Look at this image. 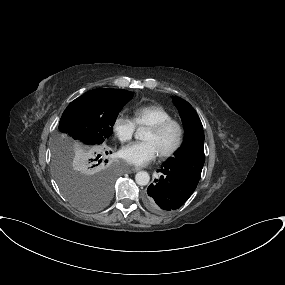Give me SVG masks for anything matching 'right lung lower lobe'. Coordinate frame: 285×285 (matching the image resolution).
Masks as SVG:
<instances>
[{
    "mask_svg": "<svg viewBox=\"0 0 285 285\" xmlns=\"http://www.w3.org/2000/svg\"><path fill=\"white\" fill-rule=\"evenodd\" d=\"M101 161L102 160L100 159L99 161L95 162L94 164L88 166V170L92 173H99L100 171H102V169L105 167V164L103 162L101 163ZM106 162H107V160H106Z\"/></svg>",
    "mask_w": 285,
    "mask_h": 285,
    "instance_id": "1",
    "label": "right lung lower lobe"
}]
</instances>
